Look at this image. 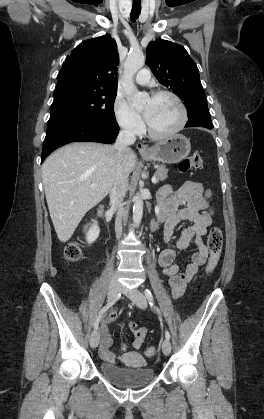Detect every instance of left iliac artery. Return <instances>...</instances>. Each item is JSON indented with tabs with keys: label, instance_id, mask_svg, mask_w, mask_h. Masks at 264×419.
I'll return each mask as SVG.
<instances>
[{
	"label": "left iliac artery",
	"instance_id": "obj_1",
	"mask_svg": "<svg viewBox=\"0 0 264 419\" xmlns=\"http://www.w3.org/2000/svg\"><path fill=\"white\" fill-rule=\"evenodd\" d=\"M144 293H145V296H146V298L148 299V301H149V304L151 305V306H153L154 305V298H153V295H152V293H151V291L150 290H148V289H145L144 290ZM157 310V312L158 313H160V311H159V309L157 308L156 309ZM165 337H166V339H170V333H169V331H165Z\"/></svg>",
	"mask_w": 264,
	"mask_h": 419
}]
</instances>
